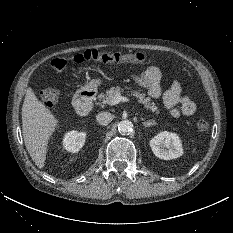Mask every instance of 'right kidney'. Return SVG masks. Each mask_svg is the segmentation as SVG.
<instances>
[{
	"label": "right kidney",
	"mask_w": 233,
	"mask_h": 233,
	"mask_svg": "<svg viewBox=\"0 0 233 233\" xmlns=\"http://www.w3.org/2000/svg\"><path fill=\"white\" fill-rule=\"evenodd\" d=\"M86 133L78 131H69L64 135L63 147L71 153H76L85 143Z\"/></svg>",
	"instance_id": "right-kidney-1"
}]
</instances>
